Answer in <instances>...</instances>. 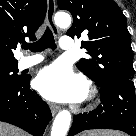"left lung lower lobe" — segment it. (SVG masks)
<instances>
[{
  "label": "left lung lower lobe",
  "instance_id": "0a47b994",
  "mask_svg": "<svg viewBox=\"0 0 136 136\" xmlns=\"http://www.w3.org/2000/svg\"><path fill=\"white\" fill-rule=\"evenodd\" d=\"M99 87L101 104L92 112L76 115L69 136L89 129H115L136 136V100L133 81L110 80Z\"/></svg>",
  "mask_w": 136,
  "mask_h": 136
}]
</instances>
